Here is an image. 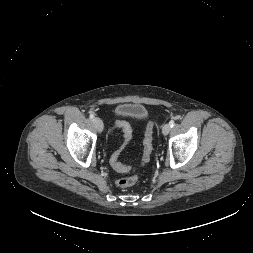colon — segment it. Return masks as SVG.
Returning a JSON list of instances; mask_svg holds the SVG:
<instances>
[{"mask_svg": "<svg viewBox=\"0 0 253 253\" xmlns=\"http://www.w3.org/2000/svg\"><path fill=\"white\" fill-rule=\"evenodd\" d=\"M116 127L121 128L124 133V142L119 150H117L111 157L112 166L119 172H132L131 175L127 177H122L116 181V184L120 188H127L133 186L138 180V172L135 169H131L129 167L124 166L119 161V156L125 146L128 144L131 138V127L127 122L119 121L116 123ZM152 129L153 124L150 122L147 125L144 140H143V156L141 159V164L144 165L150 160L151 152H152Z\"/></svg>", "mask_w": 253, "mask_h": 253, "instance_id": "colon-1", "label": "colon"}]
</instances>
